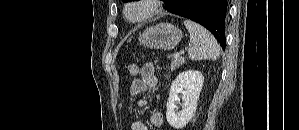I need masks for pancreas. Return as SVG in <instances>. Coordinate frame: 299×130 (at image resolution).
<instances>
[{"label":"pancreas","mask_w":299,"mask_h":130,"mask_svg":"<svg viewBox=\"0 0 299 130\" xmlns=\"http://www.w3.org/2000/svg\"><path fill=\"white\" fill-rule=\"evenodd\" d=\"M184 63H185V58L180 57V56L178 57L176 55H172L171 70H175V69L179 68Z\"/></svg>","instance_id":"obj_1"}]
</instances>
